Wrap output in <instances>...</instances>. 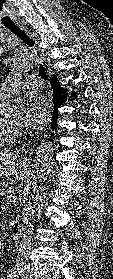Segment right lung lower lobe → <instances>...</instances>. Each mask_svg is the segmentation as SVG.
<instances>
[{
  "mask_svg": "<svg viewBox=\"0 0 113 279\" xmlns=\"http://www.w3.org/2000/svg\"><path fill=\"white\" fill-rule=\"evenodd\" d=\"M51 85L54 93V113L52 117L51 128L54 129L58 118V108L66 100L67 95L66 90L59 87V82L55 75L51 79ZM75 94L76 93H74L73 96H75Z\"/></svg>",
  "mask_w": 113,
  "mask_h": 279,
  "instance_id": "1",
  "label": "right lung lower lobe"
}]
</instances>
